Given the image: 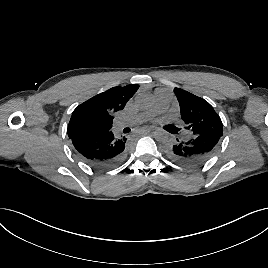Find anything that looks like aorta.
<instances>
[{
    "instance_id": "obj_1",
    "label": "aorta",
    "mask_w": 268,
    "mask_h": 268,
    "mask_svg": "<svg viewBox=\"0 0 268 268\" xmlns=\"http://www.w3.org/2000/svg\"><path fill=\"white\" fill-rule=\"evenodd\" d=\"M150 99H151L150 96L146 94H140L136 98V106L139 108H146L149 105ZM165 138H166V135L161 130H158L153 134V139L158 143L163 142Z\"/></svg>"
}]
</instances>
